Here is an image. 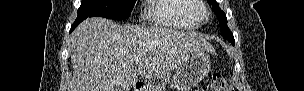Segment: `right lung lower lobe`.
<instances>
[{
	"label": "right lung lower lobe",
	"mask_w": 304,
	"mask_h": 91,
	"mask_svg": "<svg viewBox=\"0 0 304 91\" xmlns=\"http://www.w3.org/2000/svg\"><path fill=\"white\" fill-rule=\"evenodd\" d=\"M81 22H82V20L76 19L75 22L71 26L70 32H72Z\"/></svg>",
	"instance_id": "right-lung-lower-lobe-1"
}]
</instances>
